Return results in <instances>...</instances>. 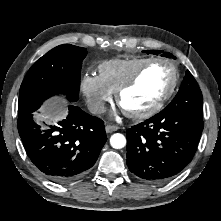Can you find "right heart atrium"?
I'll use <instances>...</instances> for the list:
<instances>
[{
	"instance_id": "d8ad5b80",
	"label": "right heart atrium",
	"mask_w": 221,
	"mask_h": 221,
	"mask_svg": "<svg viewBox=\"0 0 221 221\" xmlns=\"http://www.w3.org/2000/svg\"><path fill=\"white\" fill-rule=\"evenodd\" d=\"M81 91L89 109L94 113H102L113 96V92L96 75L86 74L81 81Z\"/></svg>"
}]
</instances>
